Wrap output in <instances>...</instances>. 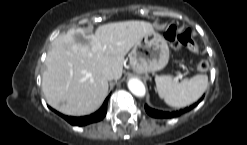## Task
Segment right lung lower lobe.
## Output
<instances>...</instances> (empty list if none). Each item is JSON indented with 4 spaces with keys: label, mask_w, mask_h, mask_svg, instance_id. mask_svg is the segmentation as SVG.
Here are the masks:
<instances>
[{
    "label": "right lung lower lobe",
    "mask_w": 247,
    "mask_h": 145,
    "mask_svg": "<svg viewBox=\"0 0 247 145\" xmlns=\"http://www.w3.org/2000/svg\"><path fill=\"white\" fill-rule=\"evenodd\" d=\"M107 102H108V98L104 101L102 107L97 112H95L89 116H84V117L65 116V115H62L56 111L55 112L57 114H59L61 117H63L70 124L77 125V126H83V125H87V124L97 122V121H100L101 119H103L104 116L106 115Z\"/></svg>",
    "instance_id": "1"
}]
</instances>
